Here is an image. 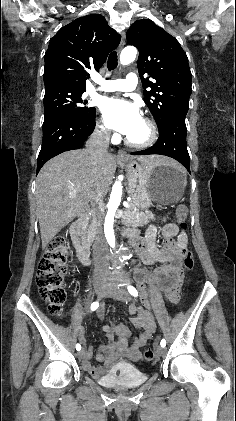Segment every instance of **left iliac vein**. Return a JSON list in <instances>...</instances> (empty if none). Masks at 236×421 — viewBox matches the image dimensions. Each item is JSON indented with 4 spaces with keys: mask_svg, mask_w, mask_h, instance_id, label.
Wrapping results in <instances>:
<instances>
[{
    "mask_svg": "<svg viewBox=\"0 0 236 421\" xmlns=\"http://www.w3.org/2000/svg\"><path fill=\"white\" fill-rule=\"evenodd\" d=\"M108 284L109 285L106 287V290H105L106 295L108 297L115 298L122 302L130 301V294L125 288L117 286L115 282L112 280H108ZM155 350L159 355H163L165 353V349L160 345L159 346L155 345Z\"/></svg>",
    "mask_w": 236,
    "mask_h": 421,
    "instance_id": "4c4485c4",
    "label": "left iliac vein"
}]
</instances>
